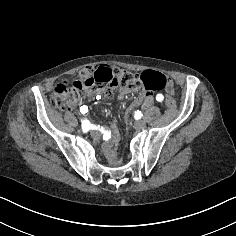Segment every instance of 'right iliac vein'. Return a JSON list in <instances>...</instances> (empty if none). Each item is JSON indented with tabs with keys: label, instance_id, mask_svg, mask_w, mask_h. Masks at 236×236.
I'll use <instances>...</instances> for the list:
<instances>
[{
	"label": "right iliac vein",
	"instance_id": "1",
	"mask_svg": "<svg viewBox=\"0 0 236 236\" xmlns=\"http://www.w3.org/2000/svg\"><path fill=\"white\" fill-rule=\"evenodd\" d=\"M91 135L95 137L97 134H96L95 131H92V132H91Z\"/></svg>",
	"mask_w": 236,
	"mask_h": 236
}]
</instances>
